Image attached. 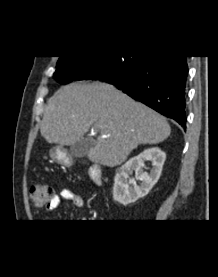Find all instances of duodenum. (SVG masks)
Masks as SVG:
<instances>
[{"mask_svg": "<svg viewBox=\"0 0 218 277\" xmlns=\"http://www.w3.org/2000/svg\"><path fill=\"white\" fill-rule=\"evenodd\" d=\"M89 177L95 183H100L102 180V171L99 166L92 165L89 168Z\"/></svg>", "mask_w": 218, "mask_h": 277, "instance_id": "obj_1", "label": "duodenum"}]
</instances>
